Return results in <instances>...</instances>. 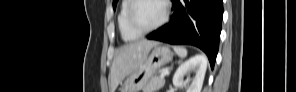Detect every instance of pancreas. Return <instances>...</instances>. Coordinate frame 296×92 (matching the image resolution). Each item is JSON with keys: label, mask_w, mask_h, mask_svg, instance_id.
<instances>
[{"label": "pancreas", "mask_w": 296, "mask_h": 92, "mask_svg": "<svg viewBox=\"0 0 296 92\" xmlns=\"http://www.w3.org/2000/svg\"><path fill=\"white\" fill-rule=\"evenodd\" d=\"M165 85V79L158 76L152 77L149 82L142 88L143 92H156L163 88Z\"/></svg>", "instance_id": "cf45deb5"}]
</instances>
